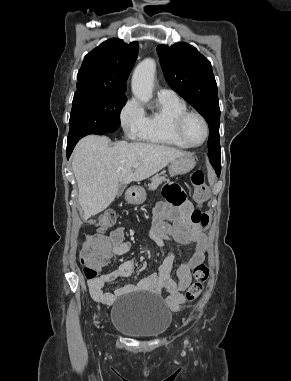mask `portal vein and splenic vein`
<instances>
[{"mask_svg": "<svg viewBox=\"0 0 291 381\" xmlns=\"http://www.w3.org/2000/svg\"><path fill=\"white\" fill-rule=\"evenodd\" d=\"M139 166V163H134L133 168H137Z\"/></svg>", "mask_w": 291, "mask_h": 381, "instance_id": "obj_1", "label": "portal vein and splenic vein"}]
</instances>
